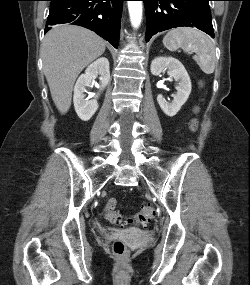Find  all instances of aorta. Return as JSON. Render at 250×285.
I'll return each mask as SVG.
<instances>
[{
	"mask_svg": "<svg viewBox=\"0 0 250 285\" xmlns=\"http://www.w3.org/2000/svg\"><path fill=\"white\" fill-rule=\"evenodd\" d=\"M128 10L132 26L138 28L142 20V1H128Z\"/></svg>",
	"mask_w": 250,
	"mask_h": 285,
	"instance_id": "obj_1",
	"label": "aorta"
}]
</instances>
